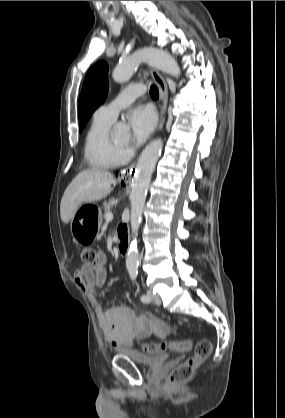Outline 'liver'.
Here are the masks:
<instances>
[{"label":"liver","mask_w":285,"mask_h":418,"mask_svg":"<svg viewBox=\"0 0 285 418\" xmlns=\"http://www.w3.org/2000/svg\"><path fill=\"white\" fill-rule=\"evenodd\" d=\"M114 183L113 174L99 168H90L78 173L61 199L60 215L63 223H69L82 203H92L109 195Z\"/></svg>","instance_id":"obj_1"}]
</instances>
